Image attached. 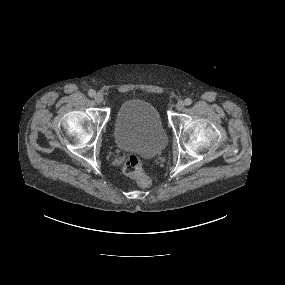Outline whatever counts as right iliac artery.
<instances>
[{"mask_svg": "<svg viewBox=\"0 0 285 285\" xmlns=\"http://www.w3.org/2000/svg\"><path fill=\"white\" fill-rule=\"evenodd\" d=\"M95 94H96V92H95L93 89L89 90V92H88V95H89L90 97H94Z\"/></svg>", "mask_w": 285, "mask_h": 285, "instance_id": "right-iliac-artery-1", "label": "right iliac artery"}]
</instances>
